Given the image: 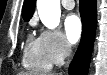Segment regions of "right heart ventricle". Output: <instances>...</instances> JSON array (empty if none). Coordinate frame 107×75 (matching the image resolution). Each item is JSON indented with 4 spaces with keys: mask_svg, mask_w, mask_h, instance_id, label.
I'll return each mask as SVG.
<instances>
[{
    "mask_svg": "<svg viewBox=\"0 0 107 75\" xmlns=\"http://www.w3.org/2000/svg\"><path fill=\"white\" fill-rule=\"evenodd\" d=\"M23 66L32 71H49L52 64L48 60L39 37L28 35L22 58Z\"/></svg>",
    "mask_w": 107,
    "mask_h": 75,
    "instance_id": "e07e8e85",
    "label": "right heart ventricle"
}]
</instances>
